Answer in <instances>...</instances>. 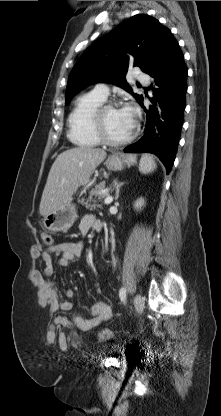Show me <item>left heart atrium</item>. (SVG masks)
I'll list each match as a JSON object with an SVG mask.
<instances>
[{
	"mask_svg": "<svg viewBox=\"0 0 221 416\" xmlns=\"http://www.w3.org/2000/svg\"><path fill=\"white\" fill-rule=\"evenodd\" d=\"M125 116L128 118V120L134 124V118H135V110L132 107H125L122 109Z\"/></svg>",
	"mask_w": 221,
	"mask_h": 416,
	"instance_id": "1",
	"label": "left heart atrium"
}]
</instances>
